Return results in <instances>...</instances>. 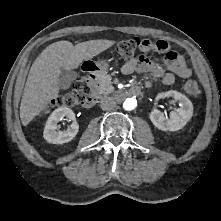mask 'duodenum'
<instances>
[{"instance_id":"duodenum-1","label":"duodenum","mask_w":221,"mask_h":221,"mask_svg":"<svg viewBox=\"0 0 221 221\" xmlns=\"http://www.w3.org/2000/svg\"><path fill=\"white\" fill-rule=\"evenodd\" d=\"M85 72H86V76L88 78L93 79L97 75L98 69L95 65L92 64V65L85 68ZM139 93H140V89L138 87H132L128 90L119 92L117 94V98L118 99H124L126 97L138 95ZM96 102H97L96 96L90 94L85 98V100L83 102V105L85 107L89 108V107H92L93 105H95Z\"/></svg>"}]
</instances>
